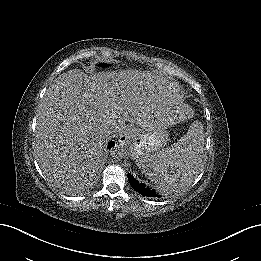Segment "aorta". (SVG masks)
Wrapping results in <instances>:
<instances>
[{
  "mask_svg": "<svg viewBox=\"0 0 261 261\" xmlns=\"http://www.w3.org/2000/svg\"><path fill=\"white\" fill-rule=\"evenodd\" d=\"M111 155L114 160H122L125 158V150L123 144H116L115 147L111 150Z\"/></svg>",
  "mask_w": 261,
  "mask_h": 261,
  "instance_id": "obj_1",
  "label": "aorta"
}]
</instances>
